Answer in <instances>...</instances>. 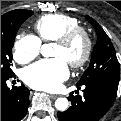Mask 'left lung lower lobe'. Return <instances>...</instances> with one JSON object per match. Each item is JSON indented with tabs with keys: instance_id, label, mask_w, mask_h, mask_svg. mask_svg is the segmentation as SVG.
I'll use <instances>...</instances> for the list:
<instances>
[{
	"instance_id": "1",
	"label": "left lung lower lobe",
	"mask_w": 121,
	"mask_h": 121,
	"mask_svg": "<svg viewBox=\"0 0 121 121\" xmlns=\"http://www.w3.org/2000/svg\"><path fill=\"white\" fill-rule=\"evenodd\" d=\"M84 95L70 94L71 106L67 111L58 112L60 121H98L113 105L118 87L101 82L83 85ZM80 89V86L78 87Z\"/></svg>"
}]
</instances>
